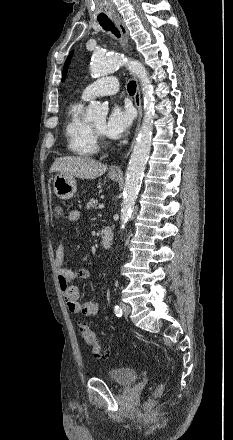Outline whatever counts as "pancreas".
Returning <instances> with one entry per match:
<instances>
[{
    "mask_svg": "<svg viewBox=\"0 0 233 440\" xmlns=\"http://www.w3.org/2000/svg\"><path fill=\"white\" fill-rule=\"evenodd\" d=\"M97 204H98L97 199H90V201L86 205V209L87 210L96 209Z\"/></svg>",
    "mask_w": 233,
    "mask_h": 440,
    "instance_id": "1",
    "label": "pancreas"
}]
</instances>
